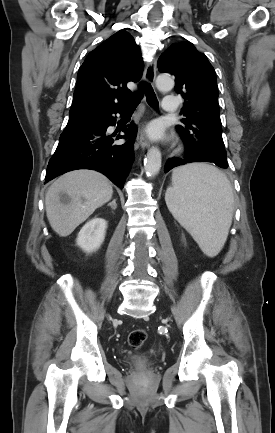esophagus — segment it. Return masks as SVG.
Returning <instances> with one entry per match:
<instances>
[{"mask_svg": "<svg viewBox=\"0 0 275 433\" xmlns=\"http://www.w3.org/2000/svg\"><path fill=\"white\" fill-rule=\"evenodd\" d=\"M156 71H157V60L153 59L146 65V68L143 73L144 81L150 85H154L155 78H156ZM137 142L141 148H148L150 146V142L143 128L138 133Z\"/></svg>", "mask_w": 275, "mask_h": 433, "instance_id": "esophagus-1", "label": "esophagus"}]
</instances>
